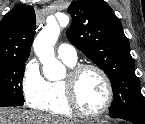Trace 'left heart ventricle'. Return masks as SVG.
Here are the masks:
<instances>
[{
	"label": "left heart ventricle",
	"mask_w": 145,
	"mask_h": 124,
	"mask_svg": "<svg viewBox=\"0 0 145 124\" xmlns=\"http://www.w3.org/2000/svg\"><path fill=\"white\" fill-rule=\"evenodd\" d=\"M76 91L79 102L88 112L100 109L107 99L105 83L94 70H86L80 75L76 84Z\"/></svg>",
	"instance_id": "obj_1"
}]
</instances>
